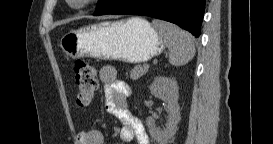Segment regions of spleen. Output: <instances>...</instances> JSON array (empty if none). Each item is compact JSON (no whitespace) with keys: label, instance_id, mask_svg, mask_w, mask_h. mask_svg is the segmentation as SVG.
<instances>
[{"label":"spleen","instance_id":"obj_1","mask_svg":"<svg viewBox=\"0 0 273 144\" xmlns=\"http://www.w3.org/2000/svg\"><path fill=\"white\" fill-rule=\"evenodd\" d=\"M152 25L170 50L169 62L172 65L182 66L193 59L196 51L194 39L190 33L161 20H153Z\"/></svg>","mask_w":273,"mask_h":144}]
</instances>
